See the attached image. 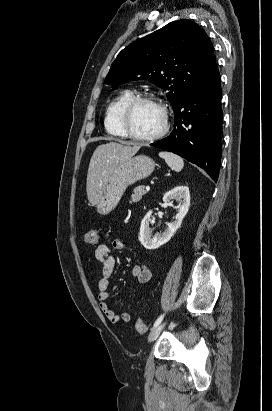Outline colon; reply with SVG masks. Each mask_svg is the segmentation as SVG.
Segmentation results:
<instances>
[{
	"label": "colon",
	"instance_id": "1",
	"mask_svg": "<svg viewBox=\"0 0 272 411\" xmlns=\"http://www.w3.org/2000/svg\"><path fill=\"white\" fill-rule=\"evenodd\" d=\"M98 241V234L95 230H90L84 235V242L87 244H94ZM136 330L140 334H145L147 332V325L142 319H138L136 322Z\"/></svg>",
	"mask_w": 272,
	"mask_h": 411
}]
</instances>
